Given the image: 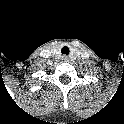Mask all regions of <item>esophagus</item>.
Returning a JSON list of instances; mask_svg holds the SVG:
<instances>
[{
  "label": "esophagus",
  "mask_w": 124,
  "mask_h": 124,
  "mask_svg": "<svg viewBox=\"0 0 124 124\" xmlns=\"http://www.w3.org/2000/svg\"><path fill=\"white\" fill-rule=\"evenodd\" d=\"M62 60H63L64 62H68V61H69V57L65 55V56L62 57Z\"/></svg>",
  "instance_id": "34e87169"
}]
</instances>
